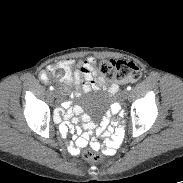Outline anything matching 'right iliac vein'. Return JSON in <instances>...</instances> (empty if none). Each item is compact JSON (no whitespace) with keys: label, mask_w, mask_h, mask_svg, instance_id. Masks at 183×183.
<instances>
[{"label":"right iliac vein","mask_w":183,"mask_h":183,"mask_svg":"<svg viewBox=\"0 0 183 183\" xmlns=\"http://www.w3.org/2000/svg\"><path fill=\"white\" fill-rule=\"evenodd\" d=\"M53 95H54V97H59L60 93H59L58 90L55 89V90L53 91Z\"/></svg>","instance_id":"63e3f726"}]
</instances>
